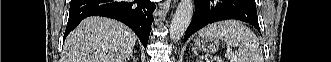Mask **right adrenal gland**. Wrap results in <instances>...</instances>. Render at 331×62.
I'll list each match as a JSON object with an SVG mask.
<instances>
[{
  "label": "right adrenal gland",
  "instance_id": "2a0ac1e0",
  "mask_svg": "<svg viewBox=\"0 0 331 62\" xmlns=\"http://www.w3.org/2000/svg\"><path fill=\"white\" fill-rule=\"evenodd\" d=\"M130 59H133L134 62H137V58L133 54H131V56L128 58V60H130Z\"/></svg>",
  "mask_w": 331,
  "mask_h": 62
}]
</instances>
